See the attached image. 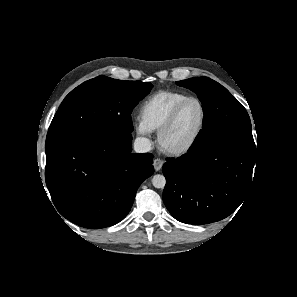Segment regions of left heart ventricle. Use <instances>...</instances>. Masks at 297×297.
I'll return each mask as SVG.
<instances>
[{"label":"left heart ventricle","instance_id":"b2bd125f","mask_svg":"<svg viewBox=\"0 0 297 297\" xmlns=\"http://www.w3.org/2000/svg\"><path fill=\"white\" fill-rule=\"evenodd\" d=\"M201 108L197 102L188 103L164 138V145L176 149L186 145L196 133L201 121Z\"/></svg>","mask_w":297,"mask_h":297}]
</instances>
